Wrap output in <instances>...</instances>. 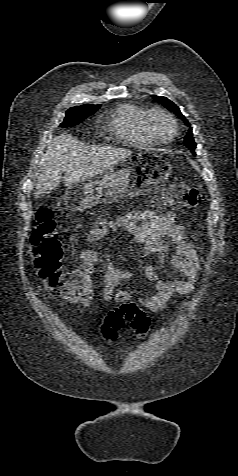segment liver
I'll return each instance as SVG.
<instances>
[{"label":"liver","instance_id":"1","mask_svg":"<svg viewBox=\"0 0 238 476\" xmlns=\"http://www.w3.org/2000/svg\"><path fill=\"white\" fill-rule=\"evenodd\" d=\"M128 149L85 146L69 134L55 136L47 147L36 182V197L50 193L61 182L71 187L88 180L131 155Z\"/></svg>","mask_w":238,"mask_h":476}]
</instances>
